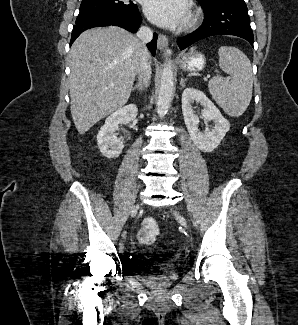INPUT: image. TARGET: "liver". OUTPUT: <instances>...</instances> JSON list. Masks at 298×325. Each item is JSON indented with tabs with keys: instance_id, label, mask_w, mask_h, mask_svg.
<instances>
[{
	"instance_id": "obj_1",
	"label": "liver",
	"mask_w": 298,
	"mask_h": 325,
	"mask_svg": "<svg viewBox=\"0 0 298 325\" xmlns=\"http://www.w3.org/2000/svg\"><path fill=\"white\" fill-rule=\"evenodd\" d=\"M141 50L140 40L120 26L90 28L73 42L70 110L79 134L126 104Z\"/></svg>"
}]
</instances>
